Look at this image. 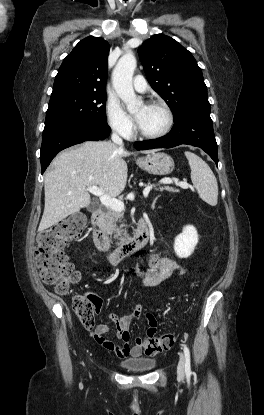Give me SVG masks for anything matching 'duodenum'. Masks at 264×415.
I'll use <instances>...</instances> for the list:
<instances>
[{
    "label": "duodenum",
    "instance_id": "410a0bca",
    "mask_svg": "<svg viewBox=\"0 0 264 415\" xmlns=\"http://www.w3.org/2000/svg\"><path fill=\"white\" fill-rule=\"evenodd\" d=\"M105 210L102 206L92 212V229L95 245L111 266L121 265L135 251L145 246L151 238V232L146 218H141L134 236L124 239L120 245L112 249L104 230Z\"/></svg>",
    "mask_w": 264,
    "mask_h": 415
}]
</instances>
